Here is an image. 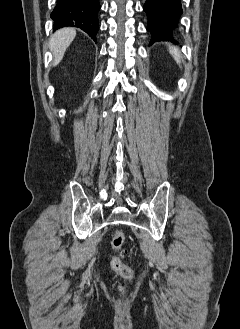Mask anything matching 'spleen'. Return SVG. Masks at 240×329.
<instances>
[{"instance_id":"obj_1","label":"spleen","mask_w":240,"mask_h":329,"mask_svg":"<svg viewBox=\"0 0 240 329\" xmlns=\"http://www.w3.org/2000/svg\"><path fill=\"white\" fill-rule=\"evenodd\" d=\"M169 53L173 56L177 63H181L182 56L178 48L173 46L169 47Z\"/></svg>"}]
</instances>
